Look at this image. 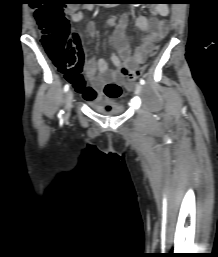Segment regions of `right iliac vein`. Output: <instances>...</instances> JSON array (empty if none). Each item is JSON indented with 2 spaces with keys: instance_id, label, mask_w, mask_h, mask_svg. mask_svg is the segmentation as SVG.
<instances>
[{
  "instance_id": "63e3f726",
  "label": "right iliac vein",
  "mask_w": 218,
  "mask_h": 257,
  "mask_svg": "<svg viewBox=\"0 0 218 257\" xmlns=\"http://www.w3.org/2000/svg\"><path fill=\"white\" fill-rule=\"evenodd\" d=\"M72 100H73V92L69 90L65 98V112H64L65 118H67L70 114L71 107H72Z\"/></svg>"
}]
</instances>
